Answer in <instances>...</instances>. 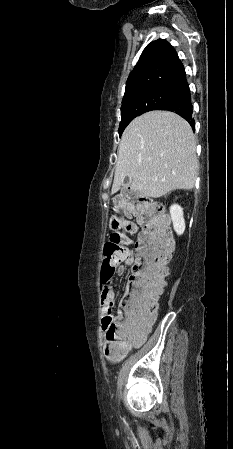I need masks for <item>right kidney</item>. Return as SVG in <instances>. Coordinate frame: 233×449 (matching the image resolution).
Returning a JSON list of instances; mask_svg holds the SVG:
<instances>
[{
    "label": "right kidney",
    "mask_w": 233,
    "mask_h": 449,
    "mask_svg": "<svg viewBox=\"0 0 233 449\" xmlns=\"http://www.w3.org/2000/svg\"><path fill=\"white\" fill-rule=\"evenodd\" d=\"M170 215L173 222V227L178 235H181L185 231V220L183 217V209L178 204H174L170 207Z\"/></svg>",
    "instance_id": "ca27d5eb"
}]
</instances>
